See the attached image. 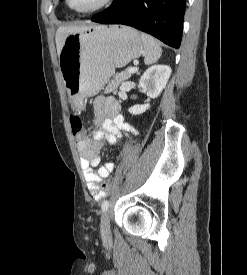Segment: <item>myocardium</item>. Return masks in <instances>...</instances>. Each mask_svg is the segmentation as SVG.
I'll list each match as a JSON object with an SVG mask.
<instances>
[{"label":"myocardium","instance_id":"obj_1","mask_svg":"<svg viewBox=\"0 0 247 275\" xmlns=\"http://www.w3.org/2000/svg\"><path fill=\"white\" fill-rule=\"evenodd\" d=\"M112 2H113V0H101L97 5H95L94 7L90 8V9L77 10V9H74L73 7H71L69 0H65L66 6L69 8V10H71L74 13L82 14V15L98 12V11L108 7Z\"/></svg>","mask_w":247,"mask_h":275}]
</instances>
